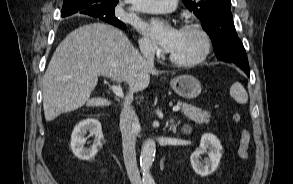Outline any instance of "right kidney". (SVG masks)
I'll use <instances>...</instances> for the list:
<instances>
[{
  "mask_svg": "<svg viewBox=\"0 0 293 184\" xmlns=\"http://www.w3.org/2000/svg\"><path fill=\"white\" fill-rule=\"evenodd\" d=\"M90 132L94 136L93 144L90 148H85V135ZM104 136L101 129V124L96 119H86L78 123L71 135L70 147L73 154L80 160L89 161L102 147Z\"/></svg>",
  "mask_w": 293,
  "mask_h": 184,
  "instance_id": "ca27d5eb",
  "label": "right kidney"
}]
</instances>
